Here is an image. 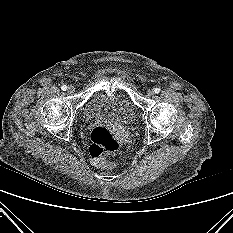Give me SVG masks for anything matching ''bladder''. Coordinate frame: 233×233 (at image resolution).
Instances as JSON below:
<instances>
[{"mask_svg": "<svg viewBox=\"0 0 233 233\" xmlns=\"http://www.w3.org/2000/svg\"><path fill=\"white\" fill-rule=\"evenodd\" d=\"M83 117L89 121L103 119L126 124L134 119L135 109L122 92H97L87 101Z\"/></svg>", "mask_w": 233, "mask_h": 233, "instance_id": "bladder-1", "label": "bladder"}]
</instances>
